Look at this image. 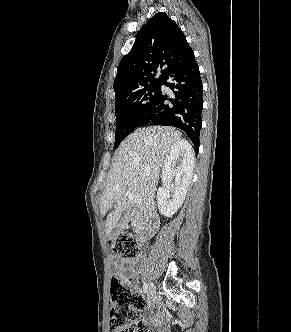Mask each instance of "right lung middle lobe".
<instances>
[{
    "label": "right lung middle lobe",
    "mask_w": 291,
    "mask_h": 332,
    "mask_svg": "<svg viewBox=\"0 0 291 332\" xmlns=\"http://www.w3.org/2000/svg\"><path fill=\"white\" fill-rule=\"evenodd\" d=\"M161 85L162 81L155 82L115 100L117 125L114 148L117 147L129 133L139 127L146 112L159 96Z\"/></svg>",
    "instance_id": "dd1d6c3e"
}]
</instances>
